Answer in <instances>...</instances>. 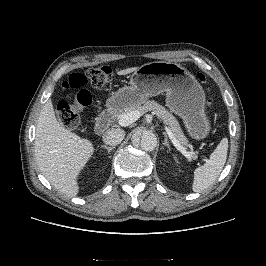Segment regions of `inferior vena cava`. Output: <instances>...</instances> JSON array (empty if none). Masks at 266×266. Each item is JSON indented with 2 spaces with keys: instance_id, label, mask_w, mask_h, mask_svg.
<instances>
[{
  "instance_id": "obj_1",
  "label": "inferior vena cava",
  "mask_w": 266,
  "mask_h": 266,
  "mask_svg": "<svg viewBox=\"0 0 266 266\" xmlns=\"http://www.w3.org/2000/svg\"><path fill=\"white\" fill-rule=\"evenodd\" d=\"M125 137V131L120 129V128H113L108 131L103 135V141L104 143L115 146L118 145L122 142V140Z\"/></svg>"
}]
</instances>
